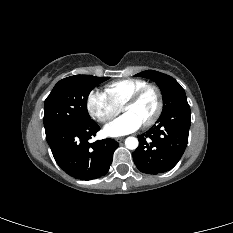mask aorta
I'll return each mask as SVG.
<instances>
[{"label": "aorta", "instance_id": "1", "mask_svg": "<svg viewBox=\"0 0 233 233\" xmlns=\"http://www.w3.org/2000/svg\"><path fill=\"white\" fill-rule=\"evenodd\" d=\"M138 144V139L135 137L130 136L125 139V146L130 150L136 149L138 147Z\"/></svg>", "mask_w": 233, "mask_h": 233}]
</instances>
